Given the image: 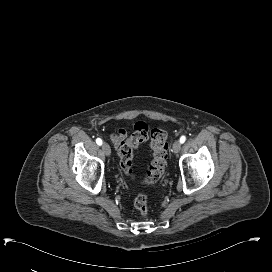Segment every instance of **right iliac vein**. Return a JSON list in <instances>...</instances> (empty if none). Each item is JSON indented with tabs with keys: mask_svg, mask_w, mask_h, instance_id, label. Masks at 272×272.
I'll return each mask as SVG.
<instances>
[{
	"mask_svg": "<svg viewBox=\"0 0 272 272\" xmlns=\"http://www.w3.org/2000/svg\"><path fill=\"white\" fill-rule=\"evenodd\" d=\"M102 150L104 151V153L106 154V156H110V154H111V148H110V146H109L108 143H103Z\"/></svg>",
	"mask_w": 272,
	"mask_h": 272,
	"instance_id": "1",
	"label": "right iliac vein"
}]
</instances>
